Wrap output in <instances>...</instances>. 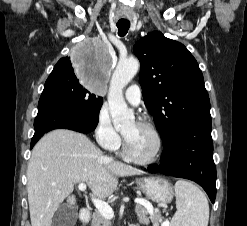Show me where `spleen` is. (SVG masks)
I'll return each mask as SVG.
<instances>
[{
  "mask_svg": "<svg viewBox=\"0 0 247 226\" xmlns=\"http://www.w3.org/2000/svg\"><path fill=\"white\" fill-rule=\"evenodd\" d=\"M176 208L171 226H207L209 204L204 193L194 184L179 180L175 184Z\"/></svg>",
  "mask_w": 247,
  "mask_h": 226,
  "instance_id": "3e777b00",
  "label": "spleen"
}]
</instances>
